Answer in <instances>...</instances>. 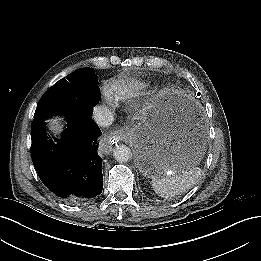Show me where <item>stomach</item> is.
Masks as SVG:
<instances>
[{
  "mask_svg": "<svg viewBox=\"0 0 261 261\" xmlns=\"http://www.w3.org/2000/svg\"><path fill=\"white\" fill-rule=\"evenodd\" d=\"M186 95L175 90L158 93L141 121L128 131L139 171L149 178L196 166L203 142L187 131Z\"/></svg>",
  "mask_w": 261,
  "mask_h": 261,
  "instance_id": "obj_1",
  "label": "stomach"
}]
</instances>
